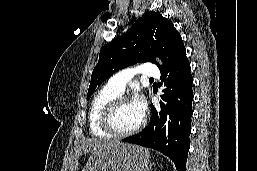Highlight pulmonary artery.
I'll use <instances>...</instances> for the list:
<instances>
[{
    "mask_svg": "<svg viewBox=\"0 0 257 171\" xmlns=\"http://www.w3.org/2000/svg\"><path fill=\"white\" fill-rule=\"evenodd\" d=\"M138 74L150 78H158L160 76L157 66L147 62L135 67H127L116 72L109 78L107 86L113 91L122 94L128 82Z\"/></svg>",
    "mask_w": 257,
    "mask_h": 171,
    "instance_id": "e3ab8cb5",
    "label": "pulmonary artery"
}]
</instances>
